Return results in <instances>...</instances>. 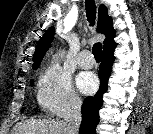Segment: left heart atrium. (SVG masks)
Instances as JSON below:
<instances>
[{
    "instance_id": "39dd6f15",
    "label": "left heart atrium",
    "mask_w": 153,
    "mask_h": 134,
    "mask_svg": "<svg viewBox=\"0 0 153 134\" xmlns=\"http://www.w3.org/2000/svg\"><path fill=\"white\" fill-rule=\"evenodd\" d=\"M77 85L83 93L89 94L96 90L98 80L93 73L83 72L77 77Z\"/></svg>"
}]
</instances>
